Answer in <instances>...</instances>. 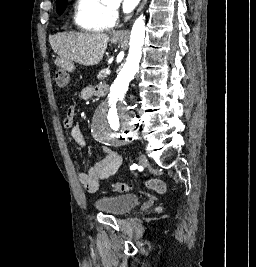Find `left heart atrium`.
I'll use <instances>...</instances> for the list:
<instances>
[{
	"label": "left heart atrium",
	"mask_w": 256,
	"mask_h": 267,
	"mask_svg": "<svg viewBox=\"0 0 256 267\" xmlns=\"http://www.w3.org/2000/svg\"><path fill=\"white\" fill-rule=\"evenodd\" d=\"M120 1L124 12H130L132 10V2H134V0H120Z\"/></svg>",
	"instance_id": "39dd6f15"
}]
</instances>
